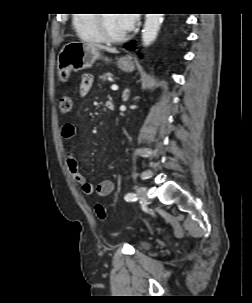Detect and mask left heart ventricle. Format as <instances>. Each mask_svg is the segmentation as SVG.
<instances>
[{"label": "left heart ventricle", "mask_w": 252, "mask_h": 303, "mask_svg": "<svg viewBox=\"0 0 252 303\" xmlns=\"http://www.w3.org/2000/svg\"><path fill=\"white\" fill-rule=\"evenodd\" d=\"M120 14H105V28L112 35H121L127 32Z\"/></svg>", "instance_id": "left-heart-ventricle-1"}]
</instances>
